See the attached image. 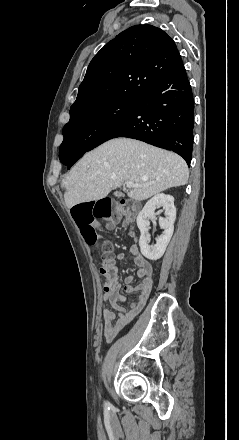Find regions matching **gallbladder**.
<instances>
[{
	"label": "gallbladder",
	"mask_w": 239,
	"mask_h": 440,
	"mask_svg": "<svg viewBox=\"0 0 239 440\" xmlns=\"http://www.w3.org/2000/svg\"><path fill=\"white\" fill-rule=\"evenodd\" d=\"M115 194H116L115 196L118 198V197L120 196V195H119V194H120V191H119V190H116V191H115Z\"/></svg>",
	"instance_id": "gallbladder-1"
}]
</instances>
